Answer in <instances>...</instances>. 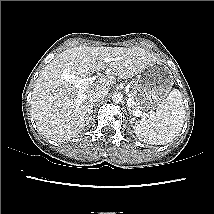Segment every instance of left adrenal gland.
I'll return each instance as SVG.
<instances>
[{
  "label": "left adrenal gland",
  "mask_w": 214,
  "mask_h": 214,
  "mask_svg": "<svg viewBox=\"0 0 214 214\" xmlns=\"http://www.w3.org/2000/svg\"><path fill=\"white\" fill-rule=\"evenodd\" d=\"M128 110H129V114H130V118H131V116H132L131 111H130V109H129V108H128Z\"/></svg>",
  "instance_id": "1"
}]
</instances>
